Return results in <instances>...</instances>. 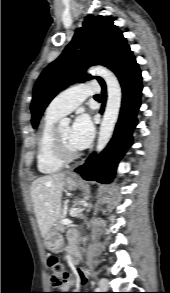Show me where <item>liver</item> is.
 Here are the masks:
<instances>
[{
  "mask_svg": "<svg viewBox=\"0 0 170 293\" xmlns=\"http://www.w3.org/2000/svg\"><path fill=\"white\" fill-rule=\"evenodd\" d=\"M65 173H55L34 180L30 187L34 213L44 238L61 210Z\"/></svg>",
  "mask_w": 170,
  "mask_h": 293,
  "instance_id": "liver-1",
  "label": "liver"
}]
</instances>
